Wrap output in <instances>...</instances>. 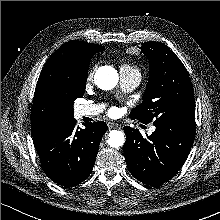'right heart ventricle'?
I'll list each match as a JSON object with an SVG mask.
<instances>
[{
  "label": "right heart ventricle",
  "mask_w": 220,
  "mask_h": 220,
  "mask_svg": "<svg viewBox=\"0 0 220 220\" xmlns=\"http://www.w3.org/2000/svg\"><path fill=\"white\" fill-rule=\"evenodd\" d=\"M121 69H126V70H135L134 68H132L130 65L128 64H124L121 66ZM136 71V70H135Z\"/></svg>",
  "instance_id": "1"
}]
</instances>
